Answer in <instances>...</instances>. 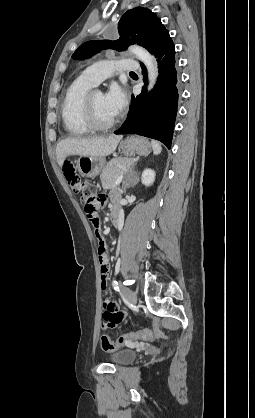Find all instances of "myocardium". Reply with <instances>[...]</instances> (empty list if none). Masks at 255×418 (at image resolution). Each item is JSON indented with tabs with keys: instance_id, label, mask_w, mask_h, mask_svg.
Here are the masks:
<instances>
[{
	"instance_id": "f54148a6",
	"label": "myocardium",
	"mask_w": 255,
	"mask_h": 418,
	"mask_svg": "<svg viewBox=\"0 0 255 418\" xmlns=\"http://www.w3.org/2000/svg\"><path fill=\"white\" fill-rule=\"evenodd\" d=\"M98 90L91 89L85 96L84 102H83V118L87 126L93 130V131H107L115 126L117 123L116 119H113L112 121L108 123H100L94 112L93 107V95Z\"/></svg>"
}]
</instances>
